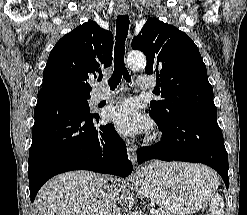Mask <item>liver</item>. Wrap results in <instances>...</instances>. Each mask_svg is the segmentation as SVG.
<instances>
[{"instance_id": "6515ba94", "label": "liver", "mask_w": 247, "mask_h": 215, "mask_svg": "<svg viewBox=\"0 0 247 215\" xmlns=\"http://www.w3.org/2000/svg\"><path fill=\"white\" fill-rule=\"evenodd\" d=\"M216 176L209 168L192 165ZM111 181L112 185L108 184ZM217 184V177H216ZM116 179L90 171H73L50 180L37 194L35 215H104L106 195Z\"/></svg>"}]
</instances>
